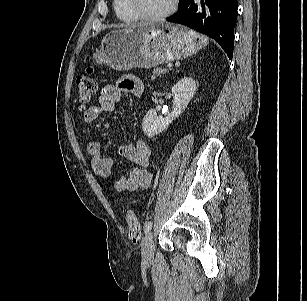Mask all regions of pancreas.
<instances>
[{
	"mask_svg": "<svg viewBox=\"0 0 307 301\" xmlns=\"http://www.w3.org/2000/svg\"><path fill=\"white\" fill-rule=\"evenodd\" d=\"M169 72V69L167 68H156L153 70L152 80L156 79V77H161V74H166Z\"/></svg>",
	"mask_w": 307,
	"mask_h": 301,
	"instance_id": "pancreas-1",
	"label": "pancreas"
}]
</instances>
